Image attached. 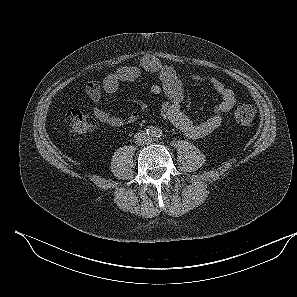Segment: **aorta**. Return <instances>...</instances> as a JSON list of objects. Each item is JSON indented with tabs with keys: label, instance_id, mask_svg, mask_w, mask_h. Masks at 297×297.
<instances>
[{
	"label": "aorta",
	"instance_id": "obj_1",
	"mask_svg": "<svg viewBox=\"0 0 297 297\" xmlns=\"http://www.w3.org/2000/svg\"><path fill=\"white\" fill-rule=\"evenodd\" d=\"M154 134H155V135H158V133H157L156 131H154Z\"/></svg>",
	"mask_w": 297,
	"mask_h": 297
}]
</instances>
